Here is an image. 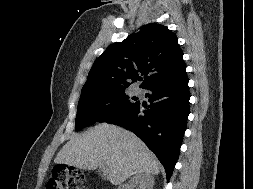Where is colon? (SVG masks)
<instances>
[{
    "label": "colon",
    "instance_id": "1",
    "mask_svg": "<svg viewBox=\"0 0 253 189\" xmlns=\"http://www.w3.org/2000/svg\"><path fill=\"white\" fill-rule=\"evenodd\" d=\"M82 174L75 168L59 165L54 168L46 189H81L79 181Z\"/></svg>",
    "mask_w": 253,
    "mask_h": 189
}]
</instances>
